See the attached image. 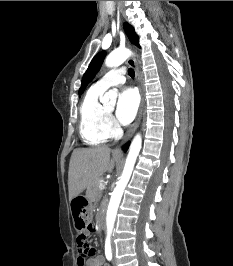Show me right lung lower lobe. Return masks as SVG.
<instances>
[{"mask_svg": "<svg viewBox=\"0 0 233 266\" xmlns=\"http://www.w3.org/2000/svg\"><path fill=\"white\" fill-rule=\"evenodd\" d=\"M128 145H129V144H126V145L123 147L124 151H126V150H127V148H128Z\"/></svg>", "mask_w": 233, "mask_h": 266, "instance_id": "1", "label": "right lung lower lobe"}]
</instances>
